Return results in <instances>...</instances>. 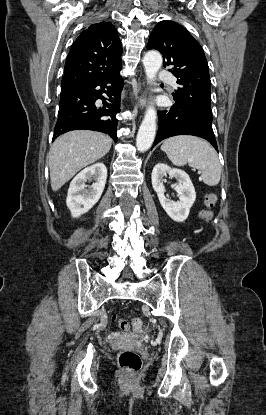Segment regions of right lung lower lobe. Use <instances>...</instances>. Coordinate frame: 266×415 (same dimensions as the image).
Returning a JSON list of instances; mask_svg holds the SVG:
<instances>
[{
	"label": "right lung lower lobe",
	"mask_w": 266,
	"mask_h": 415,
	"mask_svg": "<svg viewBox=\"0 0 266 415\" xmlns=\"http://www.w3.org/2000/svg\"><path fill=\"white\" fill-rule=\"evenodd\" d=\"M122 87L119 70L99 79L61 89L53 141L63 133L83 129L106 133L116 142V114L120 112ZM98 99L103 104H99Z\"/></svg>",
	"instance_id": "obj_1"
}]
</instances>
